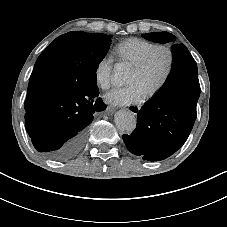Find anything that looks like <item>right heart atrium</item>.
<instances>
[{"instance_id": "right-heart-atrium-1", "label": "right heart atrium", "mask_w": 227, "mask_h": 227, "mask_svg": "<svg viewBox=\"0 0 227 227\" xmlns=\"http://www.w3.org/2000/svg\"><path fill=\"white\" fill-rule=\"evenodd\" d=\"M113 73V61L111 57L101 58L94 70V78L97 87L106 90L111 86Z\"/></svg>"}]
</instances>
